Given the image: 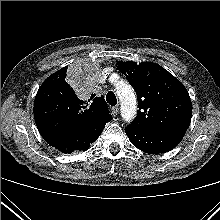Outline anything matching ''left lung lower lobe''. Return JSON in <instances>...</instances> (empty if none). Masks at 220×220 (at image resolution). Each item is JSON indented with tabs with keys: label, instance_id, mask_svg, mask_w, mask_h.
Here are the masks:
<instances>
[{
	"label": "left lung lower lobe",
	"instance_id": "left-lung-lower-lobe-1",
	"mask_svg": "<svg viewBox=\"0 0 220 220\" xmlns=\"http://www.w3.org/2000/svg\"><path fill=\"white\" fill-rule=\"evenodd\" d=\"M125 132L132 144L149 154L165 153L179 144L185 132L154 131L128 125Z\"/></svg>",
	"mask_w": 220,
	"mask_h": 220
}]
</instances>
